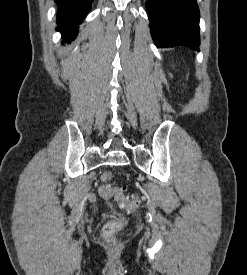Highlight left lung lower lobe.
Listing matches in <instances>:
<instances>
[{
    "instance_id": "1",
    "label": "left lung lower lobe",
    "mask_w": 247,
    "mask_h": 275,
    "mask_svg": "<svg viewBox=\"0 0 247 275\" xmlns=\"http://www.w3.org/2000/svg\"><path fill=\"white\" fill-rule=\"evenodd\" d=\"M151 35L157 48L186 46L199 51L196 0H146Z\"/></svg>"
}]
</instances>
